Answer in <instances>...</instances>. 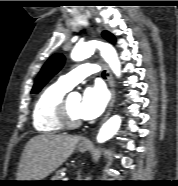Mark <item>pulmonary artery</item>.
<instances>
[{"label": "pulmonary artery", "instance_id": "1", "mask_svg": "<svg viewBox=\"0 0 178 186\" xmlns=\"http://www.w3.org/2000/svg\"><path fill=\"white\" fill-rule=\"evenodd\" d=\"M99 72V67L95 64H81L68 74L61 76L58 83L67 90L72 89L85 77Z\"/></svg>", "mask_w": 178, "mask_h": 186}]
</instances>
